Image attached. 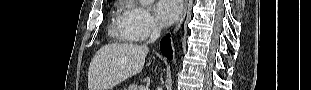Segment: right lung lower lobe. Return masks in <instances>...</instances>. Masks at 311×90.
<instances>
[{
    "label": "right lung lower lobe",
    "instance_id": "right-lung-lower-lobe-1",
    "mask_svg": "<svg viewBox=\"0 0 311 90\" xmlns=\"http://www.w3.org/2000/svg\"><path fill=\"white\" fill-rule=\"evenodd\" d=\"M160 50L163 55H165L169 60H171L172 57V49L170 47V35H166L160 42Z\"/></svg>",
    "mask_w": 311,
    "mask_h": 90
}]
</instances>
